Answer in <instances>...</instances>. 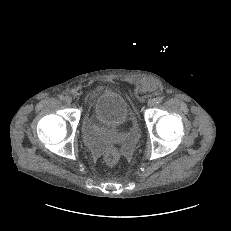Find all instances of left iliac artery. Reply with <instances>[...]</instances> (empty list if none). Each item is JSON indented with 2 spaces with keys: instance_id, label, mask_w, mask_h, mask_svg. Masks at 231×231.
<instances>
[{
  "instance_id": "44dca946",
  "label": "left iliac artery",
  "mask_w": 231,
  "mask_h": 231,
  "mask_svg": "<svg viewBox=\"0 0 231 231\" xmlns=\"http://www.w3.org/2000/svg\"><path fill=\"white\" fill-rule=\"evenodd\" d=\"M155 102H156V103H161V102H162V98H161V97H157V98L155 99Z\"/></svg>"
}]
</instances>
